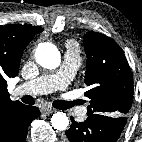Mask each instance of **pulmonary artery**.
Listing matches in <instances>:
<instances>
[{"mask_svg":"<svg viewBox=\"0 0 142 142\" xmlns=\"http://www.w3.org/2000/svg\"><path fill=\"white\" fill-rule=\"evenodd\" d=\"M80 62L81 60L77 54L73 51H67L58 71L53 74L39 76L18 85L14 90V94L40 95L64 90L73 79ZM85 114L86 108H79L78 115L84 117Z\"/></svg>","mask_w":142,"mask_h":142,"instance_id":"obj_1","label":"pulmonary artery"}]
</instances>
